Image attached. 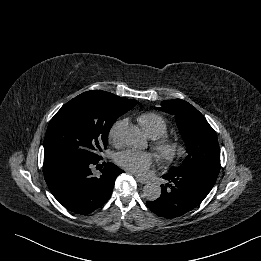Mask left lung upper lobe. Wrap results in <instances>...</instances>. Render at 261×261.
I'll return each instance as SVG.
<instances>
[{"instance_id":"obj_1","label":"left lung upper lobe","mask_w":261,"mask_h":261,"mask_svg":"<svg viewBox=\"0 0 261 261\" xmlns=\"http://www.w3.org/2000/svg\"><path fill=\"white\" fill-rule=\"evenodd\" d=\"M161 111L175 115L180 134L186 144L188 155L179 167L202 168L218 174L220 170V148L217 134L205 117L191 104L181 99L161 102Z\"/></svg>"}]
</instances>
